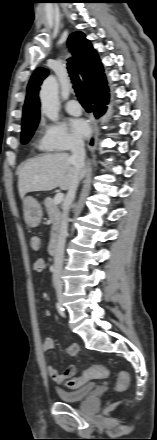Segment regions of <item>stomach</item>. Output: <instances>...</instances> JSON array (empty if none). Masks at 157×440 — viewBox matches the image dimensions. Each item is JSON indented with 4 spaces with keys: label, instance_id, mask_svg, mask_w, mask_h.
<instances>
[{
    "label": "stomach",
    "instance_id": "1",
    "mask_svg": "<svg viewBox=\"0 0 157 440\" xmlns=\"http://www.w3.org/2000/svg\"><path fill=\"white\" fill-rule=\"evenodd\" d=\"M23 212L26 224L29 227H37L42 219V207L33 197L23 199Z\"/></svg>",
    "mask_w": 157,
    "mask_h": 440
}]
</instances>
